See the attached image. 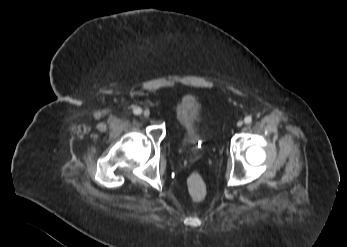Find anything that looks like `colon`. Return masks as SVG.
<instances>
[{
	"label": "colon",
	"instance_id": "1",
	"mask_svg": "<svg viewBox=\"0 0 347 247\" xmlns=\"http://www.w3.org/2000/svg\"><path fill=\"white\" fill-rule=\"evenodd\" d=\"M189 196L193 201H201L206 196V185L199 172H193L187 180Z\"/></svg>",
	"mask_w": 347,
	"mask_h": 247
}]
</instances>
